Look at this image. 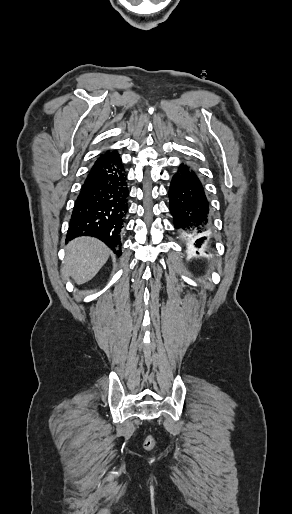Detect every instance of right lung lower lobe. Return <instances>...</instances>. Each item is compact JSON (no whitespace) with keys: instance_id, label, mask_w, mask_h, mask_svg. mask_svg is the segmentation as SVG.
I'll use <instances>...</instances> for the list:
<instances>
[{"instance_id":"1","label":"right lung lower lobe","mask_w":292,"mask_h":514,"mask_svg":"<svg viewBox=\"0 0 292 514\" xmlns=\"http://www.w3.org/2000/svg\"><path fill=\"white\" fill-rule=\"evenodd\" d=\"M127 174L118 153L97 159L82 185L67 239L92 236L121 255V230L128 211Z\"/></svg>"}]
</instances>
